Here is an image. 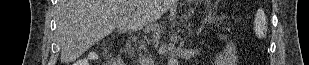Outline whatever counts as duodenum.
<instances>
[{"mask_svg": "<svg viewBox=\"0 0 309 65\" xmlns=\"http://www.w3.org/2000/svg\"><path fill=\"white\" fill-rule=\"evenodd\" d=\"M123 51H124L125 57H128L130 54V42L128 40L124 42Z\"/></svg>", "mask_w": 309, "mask_h": 65, "instance_id": "1", "label": "duodenum"}]
</instances>
